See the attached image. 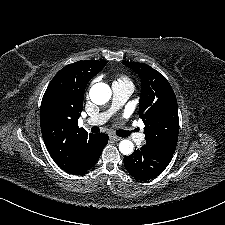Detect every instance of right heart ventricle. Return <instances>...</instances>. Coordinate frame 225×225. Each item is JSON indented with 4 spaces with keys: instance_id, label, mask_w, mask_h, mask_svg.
I'll use <instances>...</instances> for the list:
<instances>
[{
    "instance_id": "obj_1",
    "label": "right heart ventricle",
    "mask_w": 225,
    "mask_h": 225,
    "mask_svg": "<svg viewBox=\"0 0 225 225\" xmlns=\"http://www.w3.org/2000/svg\"><path fill=\"white\" fill-rule=\"evenodd\" d=\"M114 83H126V84H131L133 85L132 81L130 78L124 74L118 75L117 79L114 81Z\"/></svg>"
}]
</instances>
